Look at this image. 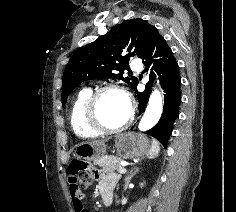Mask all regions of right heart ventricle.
Segmentation results:
<instances>
[{"instance_id":"1","label":"right heart ventricle","mask_w":236,"mask_h":212,"mask_svg":"<svg viewBox=\"0 0 236 212\" xmlns=\"http://www.w3.org/2000/svg\"><path fill=\"white\" fill-rule=\"evenodd\" d=\"M92 93L93 89L89 86L80 89L76 93L70 108L71 128L74 134L82 139L95 138L100 135L88 126L85 118L86 105Z\"/></svg>"}]
</instances>
